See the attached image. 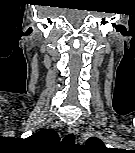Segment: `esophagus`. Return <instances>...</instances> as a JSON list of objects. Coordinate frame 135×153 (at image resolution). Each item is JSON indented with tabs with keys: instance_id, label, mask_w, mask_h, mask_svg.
Wrapping results in <instances>:
<instances>
[{
	"instance_id": "obj_1",
	"label": "esophagus",
	"mask_w": 135,
	"mask_h": 153,
	"mask_svg": "<svg viewBox=\"0 0 135 153\" xmlns=\"http://www.w3.org/2000/svg\"><path fill=\"white\" fill-rule=\"evenodd\" d=\"M68 132H69L70 134L76 135V134L78 133V128H77V126H76L75 124L69 125V127H68Z\"/></svg>"
}]
</instances>
